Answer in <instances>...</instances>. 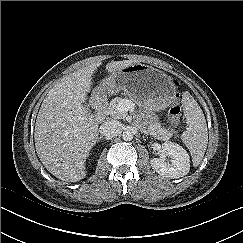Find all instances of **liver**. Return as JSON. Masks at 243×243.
<instances>
[{
    "instance_id": "1",
    "label": "liver",
    "mask_w": 243,
    "mask_h": 243,
    "mask_svg": "<svg viewBox=\"0 0 243 243\" xmlns=\"http://www.w3.org/2000/svg\"><path fill=\"white\" fill-rule=\"evenodd\" d=\"M137 60L112 61L106 65L116 72ZM101 62L91 63L64 76L49 90L35 123L37 155L56 178L77 182L86 175L85 162L98 139V123L83 105L91 90L92 75Z\"/></svg>"
}]
</instances>
